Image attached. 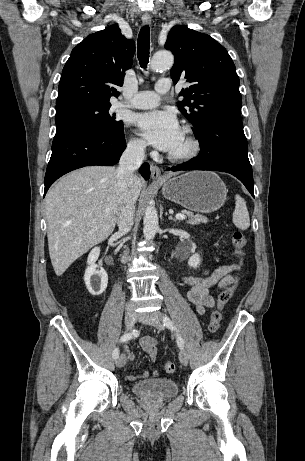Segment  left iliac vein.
I'll list each match as a JSON object with an SVG mask.
<instances>
[{
    "instance_id": "left-iliac-vein-1",
    "label": "left iliac vein",
    "mask_w": 305,
    "mask_h": 461,
    "mask_svg": "<svg viewBox=\"0 0 305 461\" xmlns=\"http://www.w3.org/2000/svg\"><path fill=\"white\" fill-rule=\"evenodd\" d=\"M138 320L142 323L156 327L159 331L163 329L162 315L159 312L140 314L138 316ZM179 359L184 366L188 364V353L184 349L180 350Z\"/></svg>"
}]
</instances>
